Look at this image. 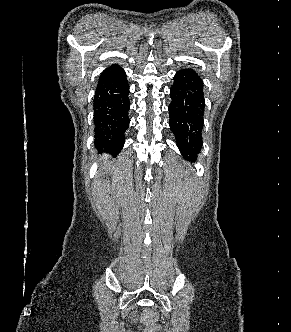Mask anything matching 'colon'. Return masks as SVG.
Returning a JSON list of instances; mask_svg holds the SVG:
<instances>
[{"label":"colon","mask_w":291,"mask_h":332,"mask_svg":"<svg viewBox=\"0 0 291 332\" xmlns=\"http://www.w3.org/2000/svg\"><path fill=\"white\" fill-rule=\"evenodd\" d=\"M143 320L146 324L145 332H158L159 323H158V315L155 311L147 310L143 314Z\"/></svg>","instance_id":"1"}]
</instances>
